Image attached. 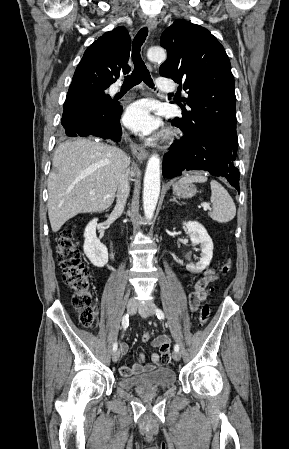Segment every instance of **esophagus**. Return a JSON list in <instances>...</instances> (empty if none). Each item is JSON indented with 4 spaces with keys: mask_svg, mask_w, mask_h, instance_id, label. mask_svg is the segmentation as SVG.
<instances>
[{
    "mask_svg": "<svg viewBox=\"0 0 289 449\" xmlns=\"http://www.w3.org/2000/svg\"><path fill=\"white\" fill-rule=\"evenodd\" d=\"M147 27L150 31H153L157 26V21L155 18H149L146 22ZM132 152L140 159H146L149 155L148 151L141 145L132 143L130 145Z\"/></svg>",
    "mask_w": 289,
    "mask_h": 449,
    "instance_id": "1",
    "label": "esophagus"
}]
</instances>
